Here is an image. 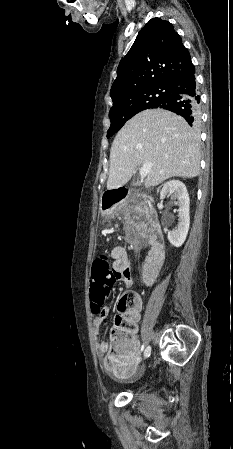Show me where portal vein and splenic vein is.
Segmentation results:
<instances>
[{
  "label": "portal vein and splenic vein",
  "instance_id": "1",
  "mask_svg": "<svg viewBox=\"0 0 233 449\" xmlns=\"http://www.w3.org/2000/svg\"><path fill=\"white\" fill-rule=\"evenodd\" d=\"M152 168V164L150 162L143 163L140 167V176L141 178L146 177Z\"/></svg>",
  "mask_w": 233,
  "mask_h": 449
}]
</instances>
